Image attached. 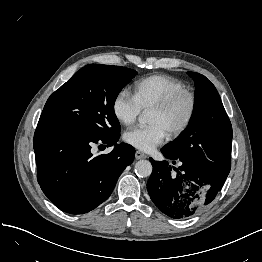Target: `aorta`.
<instances>
[{"instance_id":"762f6f07","label":"aorta","mask_w":262,"mask_h":262,"mask_svg":"<svg viewBox=\"0 0 262 262\" xmlns=\"http://www.w3.org/2000/svg\"><path fill=\"white\" fill-rule=\"evenodd\" d=\"M148 114H142L139 116L140 124H146L148 122ZM135 173L137 176L144 178L148 177L152 173V164L148 160H139L135 164Z\"/></svg>"}]
</instances>
